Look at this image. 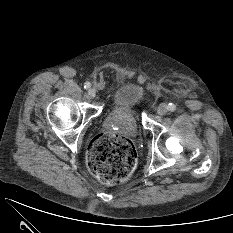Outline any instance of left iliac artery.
Segmentation results:
<instances>
[{
    "mask_svg": "<svg viewBox=\"0 0 233 233\" xmlns=\"http://www.w3.org/2000/svg\"><path fill=\"white\" fill-rule=\"evenodd\" d=\"M167 107H168V110L171 112H174L176 110V105L173 103H169Z\"/></svg>",
    "mask_w": 233,
    "mask_h": 233,
    "instance_id": "left-iliac-artery-1",
    "label": "left iliac artery"
}]
</instances>
